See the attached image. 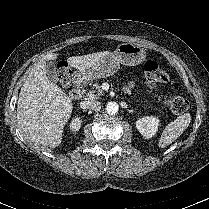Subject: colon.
Here are the masks:
<instances>
[{"label":"colon","mask_w":209,"mask_h":209,"mask_svg":"<svg viewBox=\"0 0 209 209\" xmlns=\"http://www.w3.org/2000/svg\"><path fill=\"white\" fill-rule=\"evenodd\" d=\"M144 81L148 88L153 89L158 83L168 81V75L159 68L154 60H147L143 66ZM71 69L66 61L57 64V75L63 87L67 88L71 80ZM166 106L176 114L184 113L189 109L190 102L182 96L168 97L165 100Z\"/></svg>","instance_id":"obj_1"}]
</instances>
